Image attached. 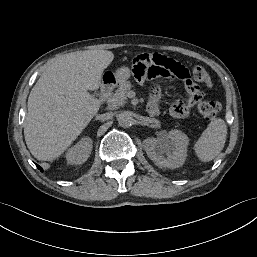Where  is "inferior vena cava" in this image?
Here are the masks:
<instances>
[{"label": "inferior vena cava", "instance_id": "602c4592", "mask_svg": "<svg viewBox=\"0 0 257 257\" xmlns=\"http://www.w3.org/2000/svg\"><path fill=\"white\" fill-rule=\"evenodd\" d=\"M112 116H113V114L111 112H107V113H104V114L97 115L96 119H99V120H109V119L112 118Z\"/></svg>", "mask_w": 257, "mask_h": 257}]
</instances>
